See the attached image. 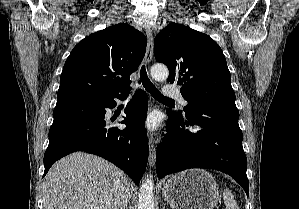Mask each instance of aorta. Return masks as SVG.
<instances>
[{
	"label": "aorta",
	"mask_w": 299,
	"mask_h": 209,
	"mask_svg": "<svg viewBox=\"0 0 299 209\" xmlns=\"http://www.w3.org/2000/svg\"><path fill=\"white\" fill-rule=\"evenodd\" d=\"M169 75L168 69L165 65H154L151 68V76L157 81L166 80ZM153 179L147 177L141 187L138 194V209H155L154 198H153Z\"/></svg>",
	"instance_id": "762f6f07"
}]
</instances>
